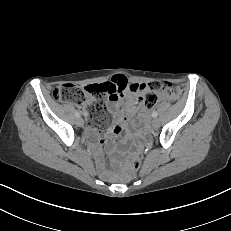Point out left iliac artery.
I'll return each mask as SVG.
<instances>
[{"label":"left iliac artery","instance_id":"1","mask_svg":"<svg viewBox=\"0 0 231 231\" xmlns=\"http://www.w3.org/2000/svg\"><path fill=\"white\" fill-rule=\"evenodd\" d=\"M157 116H158V113L154 111V112L152 113V117L156 118Z\"/></svg>","mask_w":231,"mask_h":231}]
</instances>
